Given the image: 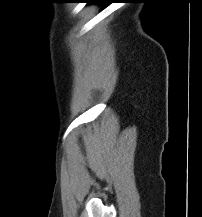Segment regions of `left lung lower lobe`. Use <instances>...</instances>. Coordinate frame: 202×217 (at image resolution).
I'll list each match as a JSON object with an SVG mask.
<instances>
[{
    "label": "left lung lower lobe",
    "mask_w": 202,
    "mask_h": 217,
    "mask_svg": "<svg viewBox=\"0 0 202 217\" xmlns=\"http://www.w3.org/2000/svg\"><path fill=\"white\" fill-rule=\"evenodd\" d=\"M87 3H112V0H88Z\"/></svg>",
    "instance_id": "1"
}]
</instances>
